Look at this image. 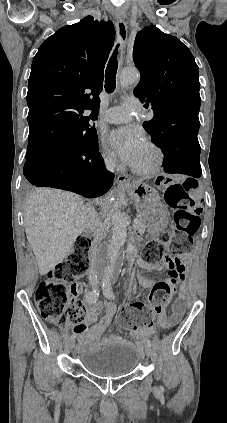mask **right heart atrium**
<instances>
[{
    "instance_id": "right-heart-atrium-1",
    "label": "right heart atrium",
    "mask_w": 227,
    "mask_h": 423,
    "mask_svg": "<svg viewBox=\"0 0 227 423\" xmlns=\"http://www.w3.org/2000/svg\"><path fill=\"white\" fill-rule=\"evenodd\" d=\"M100 157L101 160L104 164V166L110 170V171H115V170H119L120 168V164L116 158V156L110 152L106 146L102 145L101 149H100Z\"/></svg>"
}]
</instances>
